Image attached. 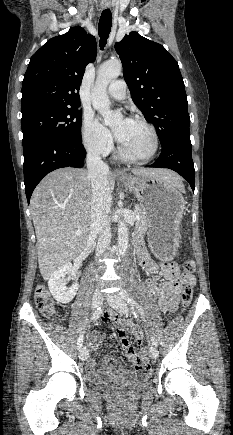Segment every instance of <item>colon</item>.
Segmentation results:
<instances>
[{
	"mask_svg": "<svg viewBox=\"0 0 233 435\" xmlns=\"http://www.w3.org/2000/svg\"><path fill=\"white\" fill-rule=\"evenodd\" d=\"M196 271L194 261H186L183 263V272L185 274L184 288L182 292V303L185 308L189 307L193 294V274ZM34 302L39 311L46 318H54L57 315L54 304L51 301L48 291L44 285H38L35 289ZM139 371H149L147 353L141 352L135 364ZM120 400L123 397H119Z\"/></svg>",
	"mask_w": 233,
	"mask_h": 435,
	"instance_id": "1",
	"label": "colon"
}]
</instances>
